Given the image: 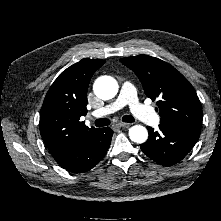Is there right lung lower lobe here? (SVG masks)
<instances>
[{"label": "right lung lower lobe", "mask_w": 221, "mask_h": 221, "mask_svg": "<svg viewBox=\"0 0 221 221\" xmlns=\"http://www.w3.org/2000/svg\"><path fill=\"white\" fill-rule=\"evenodd\" d=\"M112 135L113 131L109 127L100 128L87 140L56 161L70 172H86L103 159L111 143Z\"/></svg>", "instance_id": "1"}]
</instances>
